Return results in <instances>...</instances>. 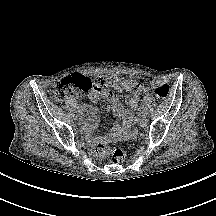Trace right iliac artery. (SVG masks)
I'll return each mask as SVG.
<instances>
[{"label":"right iliac artery","mask_w":216,"mask_h":216,"mask_svg":"<svg viewBox=\"0 0 216 216\" xmlns=\"http://www.w3.org/2000/svg\"><path fill=\"white\" fill-rule=\"evenodd\" d=\"M77 112H78V113H81V112H82V109H81V108H78V109H77Z\"/></svg>","instance_id":"right-iliac-artery-1"}]
</instances>
